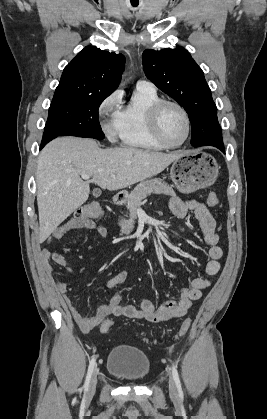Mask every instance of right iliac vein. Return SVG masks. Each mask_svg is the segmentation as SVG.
<instances>
[{"label": "right iliac vein", "instance_id": "1", "mask_svg": "<svg viewBox=\"0 0 267 419\" xmlns=\"http://www.w3.org/2000/svg\"><path fill=\"white\" fill-rule=\"evenodd\" d=\"M97 369L94 370L91 381H90V385H89V389H88V397L93 396V394L95 393L96 390V385H97Z\"/></svg>", "mask_w": 267, "mask_h": 419}]
</instances>
